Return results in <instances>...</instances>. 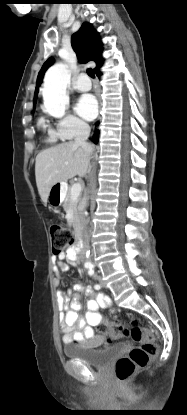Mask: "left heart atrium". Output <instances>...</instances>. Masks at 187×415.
Instances as JSON below:
<instances>
[{
	"mask_svg": "<svg viewBox=\"0 0 187 415\" xmlns=\"http://www.w3.org/2000/svg\"><path fill=\"white\" fill-rule=\"evenodd\" d=\"M76 112L86 120H92L97 115V101L95 97L91 94H85L78 100L76 107Z\"/></svg>",
	"mask_w": 187,
	"mask_h": 415,
	"instance_id": "39dd6f15",
	"label": "left heart atrium"
}]
</instances>
